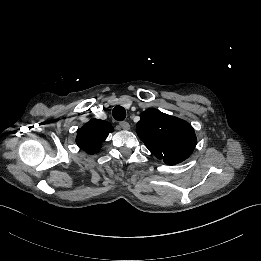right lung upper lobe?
Here are the masks:
<instances>
[{"label":"right lung upper lobe","mask_w":261,"mask_h":261,"mask_svg":"<svg viewBox=\"0 0 261 261\" xmlns=\"http://www.w3.org/2000/svg\"><path fill=\"white\" fill-rule=\"evenodd\" d=\"M113 130V127L107 121L91 119L78 129L76 143L87 153H96L100 150L102 142Z\"/></svg>","instance_id":"1"}]
</instances>
